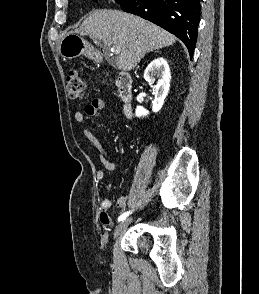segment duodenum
Returning a JSON list of instances; mask_svg holds the SVG:
<instances>
[{
	"mask_svg": "<svg viewBox=\"0 0 259 294\" xmlns=\"http://www.w3.org/2000/svg\"><path fill=\"white\" fill-rule=\"evenodd\" d=\"M118 97L124 104V110L127 115H131V102L133 98V81L127 72H121L116 78Z\"/></svg>",
	"mask_w": 259,
	"mask_h": 294,
	"instance_id": "410a0bca",
	"label": "duodenum"
}]
</instances>
